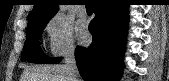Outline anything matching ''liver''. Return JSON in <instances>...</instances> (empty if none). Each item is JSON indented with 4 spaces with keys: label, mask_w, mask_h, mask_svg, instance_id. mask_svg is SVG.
<instances>
[{
    "label": "liver",
    "mask_w": 169,
    "mask_h": 81,
    "mask_svg": "<svg viewBox=\"0 0 169 81\" xmlns=\"http://www.w3.org/2000/svg\"><path fill=\"white\" fill-rule=\"evenodd\" d=\"M21 81H70L65 65H45L27 68Z\"/></svg>",
    "instance_id": "obj_1"
}]
</instances>
